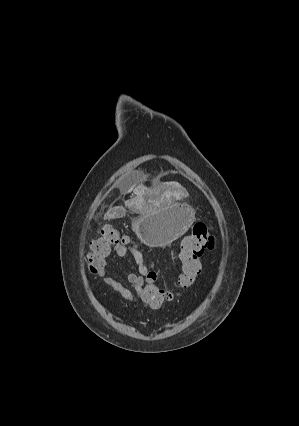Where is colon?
<instances>
[{"label":"colon","mask_w":299,"mask_h":426,"mask_svg":"<svg viewBox=\"0 0 299 426\" xmlns=\"http://www.w3.org/2000/svg\"><path fill=\"white\" fill-rule=\"evenodd\" d=\"M129 243L118 229L110 224H104L100 236L93 240L87 256V265L92 273H98L105 265L112 249L117 245ZM216 238L212 228L205 223H196L192 231L185 235L179 245L178 258L181 263V273L178 278V289L164 288L155 271L149 269L147 280L143 287V300L147 306L157 309L174 300L182 289L194 285L200 273L199 258L206 250H214Z\"/></svg>","instance_id":"5ec220e1"}]
</instances>
